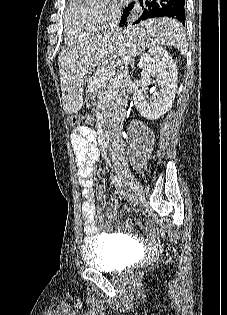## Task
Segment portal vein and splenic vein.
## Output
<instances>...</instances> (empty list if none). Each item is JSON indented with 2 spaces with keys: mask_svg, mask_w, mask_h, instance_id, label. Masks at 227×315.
Instances as JSON below:
<instances>
[{
  "mask_svg": "<svg viewBox=\"0 0 227 315\" xmlns=\"http://www.w3.org/2000/svg\"><path fill=\"white\" fill-rule=\"evenodd\" d=\"M105 79H106L105 77L102 78L101 76L95 77L94 80H93V84L101 86V84L104 83ZM117 81H118V79L115 78L114 83H116ZM113 91H114L113 87L109 86V87H107V89L104 91L103 94H106L107 96H110L111 94H113Z\"/></svg>",
  "mask_w": 227,
  "mask_h": 315,
  "instance_id": "1",
  "label": "portal vein and splenic vein"
}]
</instances>
